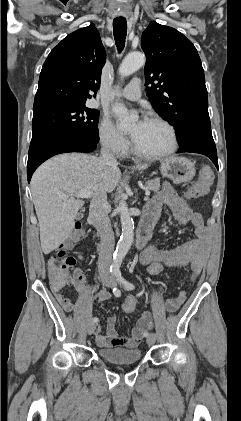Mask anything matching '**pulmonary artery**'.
Returning <instances> with one entry per match:
<instances>
[{"instance_id": "1", "label": "pulmonary artery", "mask_w": 241, "mask_h": 421, "mask_svg": "<svg viewBox=\"0 0 241 421\" xmlns=\"http://www.w3.org/2000/svg\"><path fill=\"white\" fill-rule=\"evenodd\" d=\"M119 96L128 100H138L141 96V86L139 79H133L126 87L119 93Z\"/></svg>"}]
</instances>
